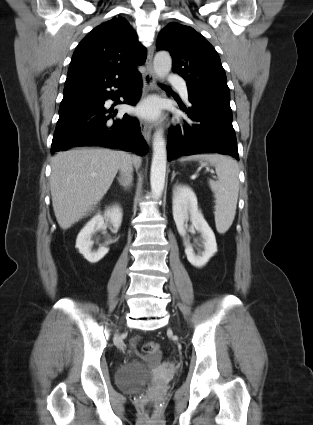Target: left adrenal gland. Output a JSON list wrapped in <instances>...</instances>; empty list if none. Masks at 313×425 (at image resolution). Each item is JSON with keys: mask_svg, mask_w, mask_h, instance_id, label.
<instances>
[{"mask_svg": "<svg viewBox=\"0 0 313 425\" xmlns=\"http://www.w3.org/2000/svg\"><path fill=\"white\" fill-rule=\"evenodd\" d=\"M176 174H178V172L176 173L174 170L172 171V177H171V182L173 181L174 177L176 176Z\"/></svg>", "mask_w": 313, "mask_h": 425, "instance_id": "a2214340", "label": "left adrenal gland"}]
</instances>
